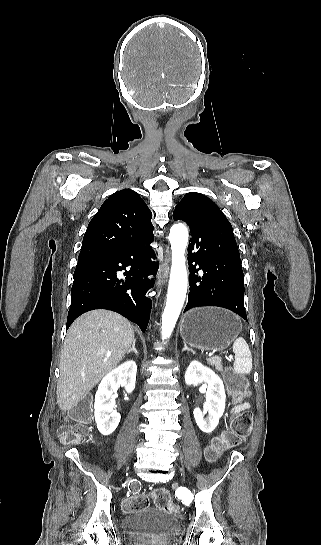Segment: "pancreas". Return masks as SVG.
<instances>
[{
  "instance_id": "cf45deb5",
  "label": "pancreas",
  "mask_w": 321,
  "mask_h": 545,
  "mask_svg": "<svg viewBox=\"0 0 321 545\" xmlns=\"http://www.w3.org/2000/svg\"><path fill=\"white\" fill-rule=\"evenodd\" d=\"M206 361L208 365H213L216 371H223L220 357H216V359H206Z\"/></svg>"
}]
</instances>
